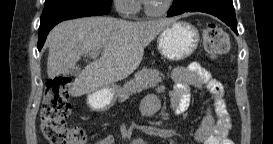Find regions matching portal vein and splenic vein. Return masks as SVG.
<instances>
[{"label":"portal vein and splenic vein","instance_id":"obj_1","mask_svg":"<svg viewBox=\"0 0 273 144\" xmlns=\"http://www.w3.org/2000/svg\"><path fill=\"white\" fill-rule=\"evenodd\" d=\"M89 56L92 58V59H97V57L99 56V51L98 52H92L89 54Z\"/></svg>","mask_w":273,"mask_h":144}]
</instances>
